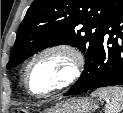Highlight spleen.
Returning <instances> with one entry per match:
<instances>
[{
    "label": "spleen",
    "mask_w": 123,
    "mask_h": 113,
    "mask_svg": "<svg viewBox=\"0 0 123 113\" xmlns=\"http://www.w3.org/2000/svg\"><path fill=\"white\" fill-rule=\"evenodd\" d=\"M93 97H99L106 101L105 113H120L123 109V88L106 87L92 93Z\"/></svg>",
    "instance_id": "spleen-1"
}]
</instances>
